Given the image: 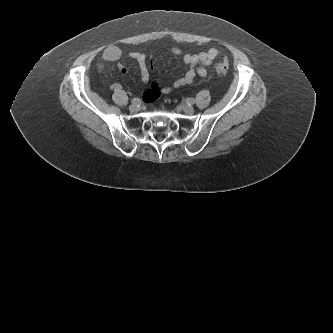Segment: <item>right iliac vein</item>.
<instances>
[{"mask_svg":"<svg viewBox=\"0 0 333 333\" xmlns=\"http://www.w3.org/2000/svg\"><path fill=\"white\" fill-rule=\"evenodd\" d=\"M139 109H140V107H139V105L136 104V103H133V104H131V105L129 106V110H130V112H132V113L138 112Z\"/></svg>","mask_w":333,"mask_h":333,"instance_id":"1","label":"right iliac vein"}]
</instances>
